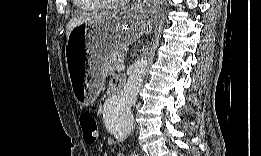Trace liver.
Instances as JSON below:
<instances>
[{
  "mask_svg": "<svg viewBox=\"0 0 261 156\" xmlns=\"http://www.w3.org/2000/svg\"><path fill=\"white\" fill-rule=\"evenodd\" d=\"M116 13L113 12H103V13H93L81 16H75L69 20L66 26V37L68 38L71 31L82 24L92 25L95 23H101L115 19Z\"/></svg>",
  "mask_w": 261,
  "mask_h": 156,
  "instance_id": "liver-1",
  "label": "liver"
}]
</instances>
